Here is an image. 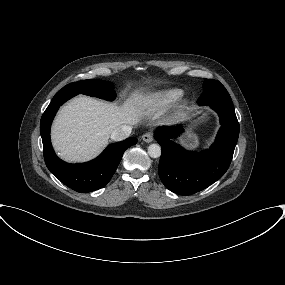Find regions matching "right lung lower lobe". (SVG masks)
<instances>
[{
    "mask_svg": "<svg viewBox=\"0 0 285 285\" xmlns=\"http://www.w3.org/2000/svg\"><path fill=\"white\" fill-rule=\"evenodd\" d=\"M75 96L58 91L42 115L40 133L43 142L44 160L47 168L67 187L87 193L104 187L112 178L124 151L137 143L136 138L110 144L97 158L87 163L69 164L59 159L51 145L50 127L59 107Z\"/></svg>",
    "mask_w": 285,
    "mask_h": 285,
    "instance_id": "1",
    "label": "right lung lower lobe"
}]
</instances>
